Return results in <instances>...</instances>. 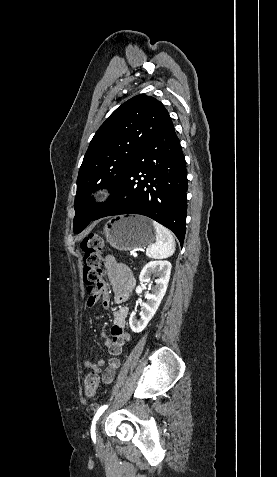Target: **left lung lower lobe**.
Wrapping results in <instances>:
<instances>
[{
  "mask_svg": "<svg viewBox=\"0 0 277 477\" xmlns=\"http://www.w3.org/2000/svg\"><path fill=\"white\" fill-rule=\"evenodd\" d=\"M186 192V162L170 121L137 154L112 197L93 220L120 214L144 215L169 228L182 245Z\"/></svg>",
  "mask_w": 277,
  "mask_h": 477,
  "instance_id": "obj_1",
  "label": "left lung lower lobe"
}]
</instances>
